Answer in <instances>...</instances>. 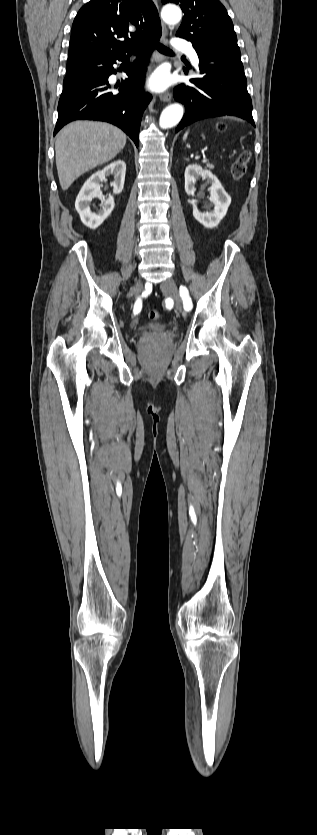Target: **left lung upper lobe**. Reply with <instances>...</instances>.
I'll use <instances>...</instances> for the list:
<instances>
[{
    "mask_svg": "<svg viewBox=\"0 0 317 835\" xmlns=\"http://www.w3.org/2000/svg\"><path fill=\"white\" fill-rule=\"evenodd\" d=\"M163 4H179L184 12L176 35L191 41L193 46L240 52L233 23L218 0H161Z\"/></svg>",
    "mask_w": 317,
    "mask_h": 835,
    "instance_id": "left-lung-upper-lobe-1",
    "label": "left lung upper lobe"
}]
</instances>
